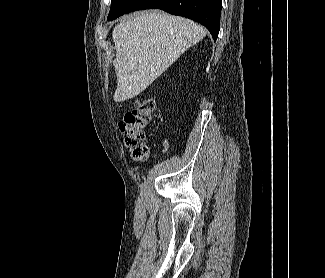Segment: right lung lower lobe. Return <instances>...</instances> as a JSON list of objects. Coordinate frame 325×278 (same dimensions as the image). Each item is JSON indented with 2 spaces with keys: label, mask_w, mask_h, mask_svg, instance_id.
<instances>
[{
  "label": "right lung lower lobe",
  "mask_w": 325,
  "mask_h": 278,
  "mask_svg": "<svg viewBox=\"0 0 325 278\" xmlns=\"http://www.w3.org/2000/svg\"><path fill=\"white\" fill-rule=\"evenodd\" d=\"M221 8V0H136L131 11L161 9L190 18L207 27L215 40L219 33Z\"/></svg>",
  "instance_id": "98d812e1"
}]
</instances>
